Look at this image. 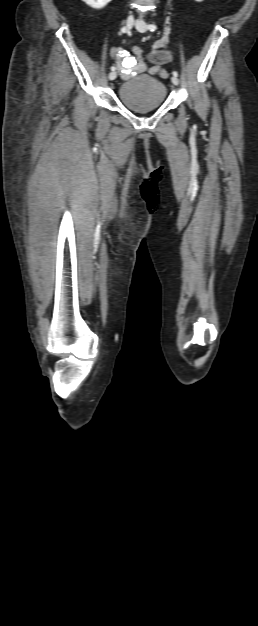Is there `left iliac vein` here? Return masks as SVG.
Returning a JSON list of instances; mask_svg holds the SVG:
<instances>
[{"instance_id": "obj_1", "label": "left iliac vein", "mask_w": 258, "mask_h": 626, "mask_svg": "<svg viewBox=\"0 0 258 626\" xmlns=\"http://www.w3.org/2000/svg\"><path fill=\"white\" fill-rule=\"evenodd\" d=\"M135 27L139 32H145L147 30V25L143 20H137L135 23ZM171 81L174 85L179 84V80L176 76H172Z\"/></svg>"}]
</instances>
